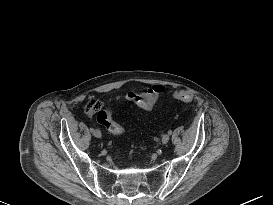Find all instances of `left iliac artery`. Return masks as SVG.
I'll list each match as a JSON object with an SVG mask.
<instances>
[{
	"label": "left iliac artery",
	"mask_w": 273,
	"mask_h": 205,
	"mask_svg": "<svg viewBox=\"0 0 273 205\" xmlns=\"http://www.w3.org/2000/svg\"><path fill=\"white\" fill-rule=\"evenodd\" d=\"M168 134L171 135V134H172V130H169V131H168Z\"/></svg>",
	"instance_id": "44dca946"
}]
</instances>
